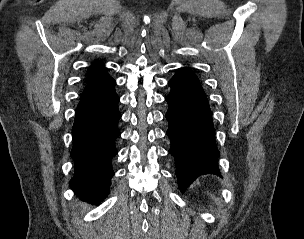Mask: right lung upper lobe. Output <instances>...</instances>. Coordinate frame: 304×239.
Returning <instances> with one entry per match:
<instances>
[{"label":"right lung upper lobe","mask_w":304,"mask_h":239,"mask_svg":"<svg viewBox=\"0 0 304 239\" xmlns=\"http://www.w3.org/2000/svg\"><path fill=\"white\" fill-rule=\"evenodd\" d=\"M102 64L99 63V61H96L92 68L90 69V73L88 76V82L94 80L95 78L99 77L101 74L105 73V71H102Z\"/></svg>","instance_id":"right-lung-upper-lobe-1"}]
</instances>
